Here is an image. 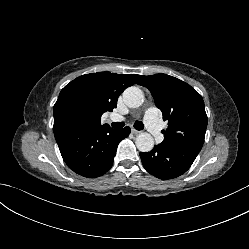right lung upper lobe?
I'll list each match as a JSON object with an SVG mask.
<instances>
[{
    "mask_svg": "<svg viewBox=\"0 0 249 249\" xmlns=\"http://www.w3.org/2000/svg\"><path fill=\"white\" fill-rule=\"evenodd\" d=\"M143 78L137 74L110 72L77 77L61 90L53 107V130L61 127L90 131L108 128V124L101 125L102 114L116 108L119 95Z\"/></svg>",
    "mask_w": 249,
    "mask_h": 249,
    "instance_id": "right-lung-upper-lobe-1",
    "label": "right lung upper lobe"
}]
</instances>
